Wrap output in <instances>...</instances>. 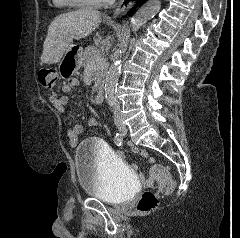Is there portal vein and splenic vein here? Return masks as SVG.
<instances>
[{
  "instance_id": "obj_1",
  "label": "portal vein and splenic vein",
  "mask_w": 240,
  "mask_h": 238,
  "mask_svg": "<svg viewBox=\"0 0 240 238\" xmlns=\"http://www.w3.org/2000/svg\"><path fill=\"white\" fill-rule=\"evenodd\" d=\"M96 61H97V62H100V58H99V57H97Z\"/></svg>"
}]
</instances>
